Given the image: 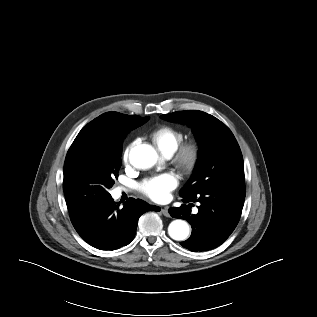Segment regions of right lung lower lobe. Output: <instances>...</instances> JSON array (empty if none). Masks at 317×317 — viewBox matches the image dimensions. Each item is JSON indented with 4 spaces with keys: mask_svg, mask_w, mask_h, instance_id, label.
Listing matches in <instances>:
<instances>
[{
    "mask_svg": "<svg viewBox=\"0 0 317 317\" xmlns=\"http://www.w3.org/2000/svg\"><path fill=\"white\" fill-rule=\"evenodd\" d=\"M71 222L77 233L91 246L115 250L128 245L134 238L139 217L159 207L130 198L119 208L111 196L85 204L66 197Z\"/></svg>",
    "mask_w": 317,
    "mask_h": 317,
    "instance_id": "obj_1",
    "label": "right lung lower lobe"
}]
</instances>
